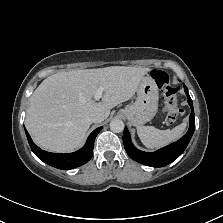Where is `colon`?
Returning <instances> with one entry per match:
<instances>
[{
	"instance_id": "obj_1",
	"label": "colon",
	"mask_w": 223,
	"mask_h": 223,
	"mask_svg": "<svg viewBox=\"0 0 223 223\" xmlns=\"http://www.w3.org/2000/svg\"><path fill=\"white\" fill-rule=\"evenodd\" d=\"M157 86L163 91L165 96V106L167 109L166 123L174 124L181 116L182 110L176 107V95L178 88L171 84L169 75L162 70H154L151 73Z\"/></svg>"
}]
</instances>
